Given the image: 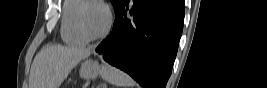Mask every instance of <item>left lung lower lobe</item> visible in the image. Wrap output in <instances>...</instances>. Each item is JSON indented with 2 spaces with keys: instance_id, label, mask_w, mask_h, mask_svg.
<instances>
[{
  "instance_id": "0a47b994",
  "label": "left lung lower lobe",
  "mask_w": 267,
  "mask_h": 88,
  "mask_svg": "<svg viewBox=\"0 0 267 88\" xmlns=\"http://www.w3.org/2000/svg\"><path fill=\"white\" fill-rule=\"evenodd\" d=\"M125 0L96 52L144 88H165L183 30L181 0ZM130 13L131 17L127 15Z\"/></svg>"
}]
</instances>
